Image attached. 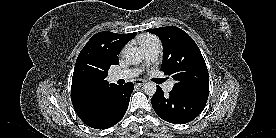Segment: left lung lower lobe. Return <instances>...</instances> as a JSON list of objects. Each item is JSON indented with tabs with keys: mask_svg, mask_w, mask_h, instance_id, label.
I'll return each mask as SVG.
<instances>
[{
	"mask_svg": "<svg viewBox=\"0 0 276 138\" xmlns=\"http://www.w3.org/2000/svg\"><path fill=\"white\" fill-rule=\"evenodd\" d=\"M206 102L173 91L164 95L159 86L151 99L156 114L174 124H185L195 119L203 111Z\"/></svg>",
	"mask_w": 276,
	"mask_h": 138,
	"instance_id": "obj_1",
	"label": "left lung lower lobe"
}]
</instances>
